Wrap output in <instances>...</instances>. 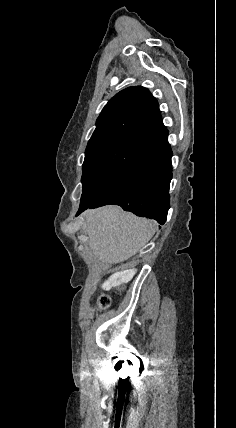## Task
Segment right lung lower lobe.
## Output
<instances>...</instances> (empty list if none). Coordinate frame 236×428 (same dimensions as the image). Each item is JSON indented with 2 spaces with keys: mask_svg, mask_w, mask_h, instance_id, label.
<instances>
[{
  "mask_svg": "<svg viewBox=\"0 0 236 428\" xmlns=\"http://www.w3.org/2000/svg\"><path fill=\"white\" fill-rule=\"evenodd\" d=\"M163 127L143 141V148L125 173L87 208L116 204L125 211L164 224L170 207L169 186L172 179V151Z\"/></svg>",
  "mask_w": 236,
  "mask_h": 428,
  "instance_id": "1",
  "label": "right lung lower lobe"
}]
</instances>
